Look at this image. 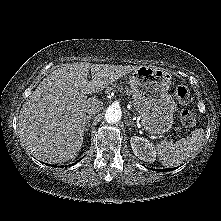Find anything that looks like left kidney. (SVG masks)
Returning <instances> with one entry per match:
<instances>
[{
    "instance_id": "obj_1",
    "label": "left kidney",
    "mask_w": 221,
    "mask_h": 221,
    "mask_svg": "<svg viewBox=\"0 0 221 221\" xmlns=\"http://www.w3.org/2000/svg\"><path fill=\"white\" fill-rule=\"evenodd\" d=\"M130 144L134 154L145 162L153 163L156 160V149L149 140L143 137L133 136Z\"/></svg>"
}]
</instances>
